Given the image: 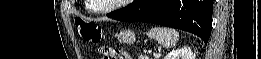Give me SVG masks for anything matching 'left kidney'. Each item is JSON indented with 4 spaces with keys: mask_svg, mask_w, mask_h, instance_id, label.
<instances>
[{
    "mask_svg": "<svg viewBox=\"0 0 261 59\" xmlns=\"http://www.w3.org/2000/svg\"><path fill=\"white\" fill-rule=\"evenodd\" d=\"M194 54L190 47L184 46L169 52L164 59H194Z\"/></svg>",
    "mask_w": 261,
    "mask_h": 59,
    "instance_id": "obj_1",
    "label": "left kidney"
}]
</instances>
